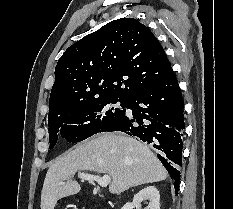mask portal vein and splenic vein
Listing matches in <instances>:
<instances>
[{
  "label": "portal vein and splenic vein",
  "instance_id": "1",
  "mask_svg": "<svg viewBox=\"0 0 233 209\" xmlns=\"http://www.w3.org/2000/svg\"><path fill=\"white\" fill-rule=\"evenodd\" d=\"M78 177L83 180L96 181L101 187H107L111 181V177L108 174L103 175L102 177L87 174V173H78ZM62 184H65L64 182Z\"/></svg>",
  "mask_w": 233,
  "mask_h": 209
}]
</instances>
